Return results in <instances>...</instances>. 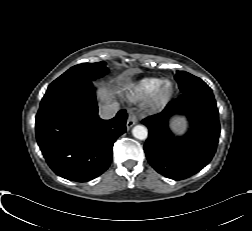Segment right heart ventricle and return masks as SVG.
<instances>
[{"instance_id":"right-heart-ventricle-1","label":"right heart ventricle","mask_w":252,"mask_h":231,"mask_svg":"<svg viewBox=\"0 0 252 231\" xmlns=\"http://www.w3.org/2000/svg\"><path fill=\"white\" fill-rule=\"evenodd\" d=\"M161 81L156 77L142 78L127 88V97L131 101L143 100L155 92Z\"/></svg>"}]
</instances>
